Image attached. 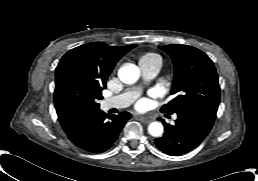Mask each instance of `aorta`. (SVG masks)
I'll list each match as a JSON object with an SVG mask.
<instances>
[{
	"label": "aorta",
	"mask_w": 258,
	"mask_h": 181,
	"mask_svg": "<svg viewBox=\"0 0 258 181\" xmlns=\"http://www.w3.org/2000/svg\"><path fill=\"white\" fill-rule=\"evenodd\" d=\"M118 77L125 84H134L140 77V70L136 65L127 63L118 70ZM163 131L161 122L154 121L148 125V132L153 137L162 136Z\"/></svg>",
	"instance_id": "aorta-1"
}]
</instances>
